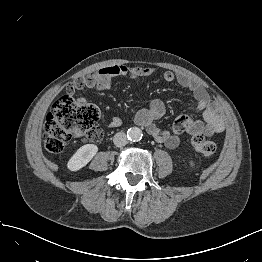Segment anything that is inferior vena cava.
<instances>
[{
	"label": "inferior vena cava",
	"instance_id": "obj_1",
	"mask_svg": "<svg viewBox=\"0 0 262 262\" xmlns=\"http://www.w3.org/2000/svg\"><path fill=\"white\" fill-rule=\"evenodd\" d=\"M113 142L117 147L125 146L128 142L127 136L124 132H118L113 137Z\"/></svg>",
	"mask_w": 262,
	"mask_h": 262
}]
</instances>
